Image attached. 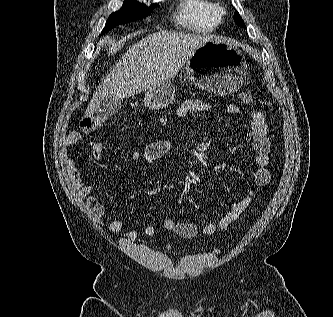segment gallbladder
<instances>
[{
    "label": "gallbladder",
    "instance_id": "obj_1",
    "mask_svg": "<svg viewBox=\"0 0 333 317\" xmlns=\"http://www.w3.org/2000/svg\"><path fill=\"white\" fill-rule=\"evenodd\" d=\"M122 104V99L119 97H112L101 102L96 110V114L101 117H108L118 112Z\"/></svg>",
    "mask_w": 333,
    "mask_h": 317
}]
</instances>
